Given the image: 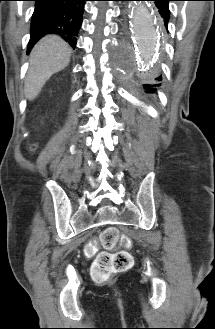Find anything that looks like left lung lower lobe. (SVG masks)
<instances>
[{
    "mask_svg": "<svg viewBox=\"0 0 215 329\" xmlns=\"http://www.w3.org/2000/svg\"><path fill=\"white\" fill-rule=\"evenodd\" d=\"M148 1H154L155 2L157 8L159 9L160 15L164 19V25L167 29L168 21H169V15H170L168 3H169V1H174V0H148ZM159 78H161V77H159ZM144 86H145V88L147 89L148 92H152L154 90L152 88V86H150V85H144Z\"/></svg>",
    "mask_w": 215,
    "mask_h": 329,
    "instance_id": "1",
    "label": "left lung lower lobe"
}]
</instances>
